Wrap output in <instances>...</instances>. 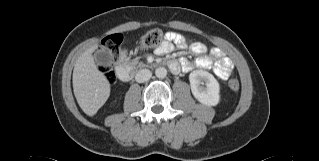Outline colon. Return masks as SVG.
<instances>
[{"mask_svg":"<svg viewBox=\"0 0 319 161\" xmlns=\"http://www.w3.org/2000/svg\"><path fill=\"white\" fill-rule=\"evenodd\" d=\"M122 37L119 34L112 35L105 43L104 51L107 61L103 66V72L109 82L114 80V73L111 63L119 56ZM162 42V34L159 29H152L146 32L140 39L139 44L142 50H149ZM229 87L236 92L239 89V82L236 78L229 81Z\"/></svg>","mask_w":319,"mask_h":161,"instance_id":"1","label":"colon"}]
</instances>
